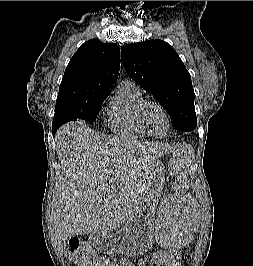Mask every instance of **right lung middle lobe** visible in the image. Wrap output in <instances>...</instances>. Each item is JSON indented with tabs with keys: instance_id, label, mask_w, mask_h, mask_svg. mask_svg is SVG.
<instances>
[{
	"instance_id": "dd1d6c3e",
	"label": "right lung middle lobe",
	"mask_w": 253,
	"mask_h": 266,
	"mask_svg": "<svg viewBox=\"0 0 253 266\" xmlns=\"http://www.w3.org/2000/svg\"><path fill=\"white\" fill-rule=\"evenodd\" d=\"M109 94H99L81 101L56 102L52 125L61 126L66 122L83 119L93 123L103 101Z\"/></svg>"
}]
</instances>
